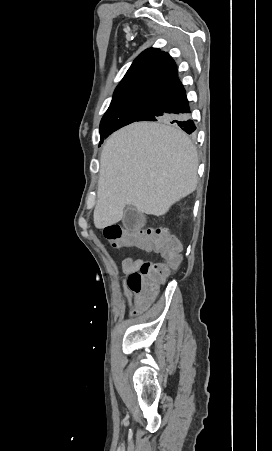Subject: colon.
Segmentation results:
<instances>
[{"mask_svg":"<svg viewBox=\"0 0 272 451\" xmlns=\"http://www.w3.org/2000/svg\"><path fill=\"white\" fill-rule=\"evenodd\" d=\"M102 237L113 248L120 250L148 249L150 256H162L166 262L148 261L128 258L124 261L126 269L132 271L127 281L128 289H137L138 303H153L155 290L162 289V283L171 276V271L177 265V256L182 249L180 242L169 235L166 229L126 230L119 224L105 226Z\"/></svg>","mask_w":272,"mask_h":451,"instance_id":"5ec220e1","label":"colon"}]
</instances>
